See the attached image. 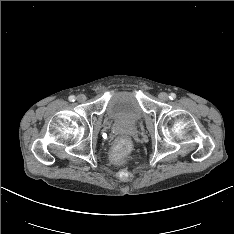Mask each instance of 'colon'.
<instances>
[{"instance_id": "colon-1", "label": "colon", "mask_w": 234, "mask_h": 234, "mask_svg": "<svg viewBox=\"0 0 234 234\" xmlns=\"http://www.w3.org/2000/svg\"><path fill=\"white\" fill-rule=\"evenodd\" d=\"M133 150V143L128 138H121L114 142L109 152V159L116 165H125L129 161V154Z\"/></svg>"}]
</instances>
